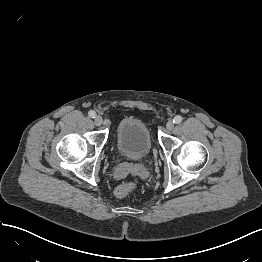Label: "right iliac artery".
<instances>
[{"instance_id":"82829eb1","label":"right iliac artery","mask_w":262,"mask_h":262,"mask_svg":"<svg viewBox=\"0 0 262 262\" xmlns=\"http://www.w3.org/2000/svg\"><path fill=\"white\" fill-rule=\"evenodd\" d=\"M89 116L91 117V118H95V116H96V113L94 112V111H89Z\"/></svg>"}]
</instances>
